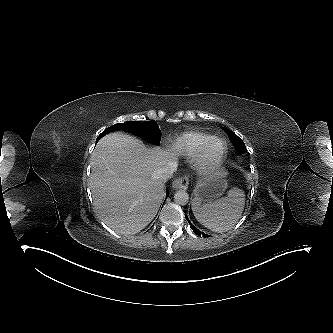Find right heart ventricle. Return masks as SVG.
I'll return each instance as SVG.
<instances>
[{"label": "right heart ventricle", "instance_id": "obj_1", "mask_svg": "<svg viewBox=\"0 0 333 333\" xmlns=\"http://www.w3.org/2000/svg\"><path fill=\"white\" fill-rule=\"evenodd\" d=\"M210 138L211 135L203 132H184L174 139L172 148L183 156L194 157L200 152Z\"/></svg>", "mask_w": 333, "mask_h": 333}]
</instances>
